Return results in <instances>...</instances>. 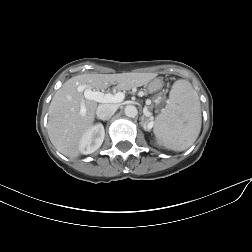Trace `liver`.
<instances>
[{
	"instance_id": "liver-1",
	"label": "liver",
	"mask_w": 252,
	"mask_h": 252,
	"mask_svg": "<svg viewBox=\"0 0 252 252\" xmlns=\"http://www.w3.org/2000/svg\"><path fill=\"white\" fill-rule=\"evenodd\" d=\"M155 74L119 73V74H81L68 79L55 93L50 106L47 130L54 147L69 158L80 155L79 143L95 119L98 103L84 97L79 92L80 85L91 90H104L109 84H117L118 90H130L148 84ZM84 107L86 113H80Z\"/></svg>"
}]
</instances>
